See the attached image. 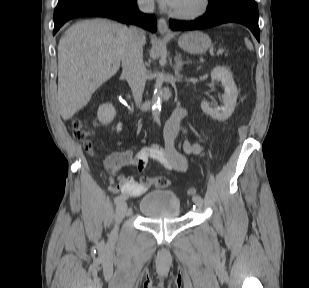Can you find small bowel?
<instances>
[{
  "label": "small bowel",
  "mask_w": 309,
  "mask_h": 288,
  "mask_svg": "<svg viewBox=\"0 0 309 288\" xmlns=\"http://www.w3.org/2000/svg\"><path fill=\"white\" fill-rule=\"evenodd\" d=\"M184 114V108H176L167 120L164 128V147L152 145L141 149L136 154L132 151L116 152L112 155L110 161L118 166L132 165L137 170H142L149 160H153L167 170L186 172L188 170V161L185 155L175 147V139L179 133ZM120 126L121 123L118 122L117 127ZM183 149L186 154L197 155L203 150V147L186 140L183 143ZM151 186L152 184L144 186L130 176L122 182L119 190L127 195L138 197L144 194Z\"/></svg>",
  "instance_id": "obj_1"
}]
</instances>
